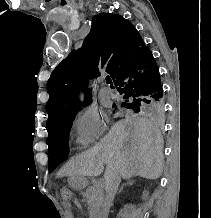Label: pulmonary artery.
Here are the masks:
<instances>
[{
  "mask_svg": "<svg viewBox=\"0 0 211 218\" xmlns=\"http://www.w3.org/2000/svg\"><path fill=\"white\" fill-rule=\"evenodd\" d=\"M101 96L103 98H112L114 96V92L111 88H109L108 86H104L102 89H101Z\"/></svg>",
  "mask_w": 211,
  "mask_h": 218,
  "instance_id": "pulmonary-artery-1",
  "label": "pulmonary artery"
}]
</instances>
